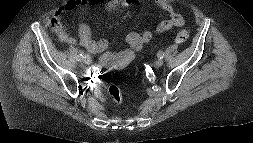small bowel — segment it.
Here are the masks:
<instances>
[{"label": "small bowel", "mask_w": 253, "mask_h": 143, "mask_svg": "<svg viewBox=\"0 0 253 143\" xmlns=\"http://www.w3.org/2000/svg\"><path fill=\"white\" fill-rule=\"evenodd\" d=\"M141 0H68L61 8L57 10L54 16V20L58 22L57 33L61 41L68 44H75L77 39L70 35L65 27L59 22L60 18L66 12H69L80 6H91L105 2V8L109 11L114 10L119 5L133 6L139 3ZM158 6H160L167 14L168 18L161 21L156 27V33L162 34L172 28L181 27L184 24L183 16L176 12L173 5L169 0H154ZM152 32L147 29H143L140 32H130L126 36V41L129 48L120 51L118 53H106V57H113L116 60L126 59L129 62L134 58V55L139 51L145 43H148L152 39ZM78 37L80 43L90 53L102 52L106 49L107 43L103 40L96 41L92 37V32L87 24H81L78 28Z\"/></svg>", "instance_id": "small-bowel-1"}]
</instances>
